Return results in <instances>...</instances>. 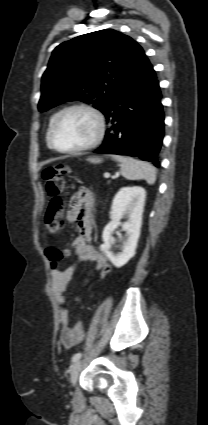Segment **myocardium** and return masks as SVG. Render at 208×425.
Wrapping results in <instances>:
<instances>
[{"mask_svg":"<svg viewBox=\"0 0 208 425\" xmlns=\"http://www.w3.org/2000/svg\"><path fill=\"white\" fill-rule=\"evenodd\" d=\"M72 111H83L86 113H89L90 115H92L96 121L97 124V131L96 134L94 136V138L87 144L80 146V147H76V148H71V149H62L59 148L55 142H54V132L55 129L58 125V123L60 122V120L69 112ZM105 132H106V121H105V117L104 115L95 107L85 104V103H78V104H73L70 106L65 107L64 109H62L54 118L50 129H49V135H48V143L49 146L60 152V153H65V154H78V153H82L85 151H88L90 149L95 148L96 146H98L104 136H105Z\"/></svg>","mask_w":208,"mask_h":425,"instance_id":"f54148a6","label":"myocardium"}]
</instances>
